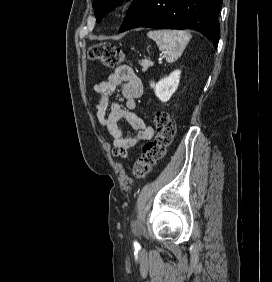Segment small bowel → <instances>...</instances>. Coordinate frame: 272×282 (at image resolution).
I'll use <instances>...</instances> for the list:
<instances>
[{
  "label": "small bowel",
  "instance_id": "small-bowel-1",
  "mask_svg": "<svg viewBox=\"0 0 272 282\" xmlns=\"http://www.w3.org/2000/svg\"><path fill=\"white\" fill-rule=\"evenodd\" d=\"M121 86L125 99L124 107L110 99L111 95ZM97 101L94 105L98 124L103 127L108 136L113 139V156L126 157L137 144L150 140L154 135L152 127L135 114L132 109L141 96L143 87L132 68L127 65L118 66L103 82L94 85ZM125 119L134 129L138 130L136 137L130 138L122 131L121 120Z\"/></svg>",
  "mask_w": 272,
  "mask_h": 282
}]
</instances>
